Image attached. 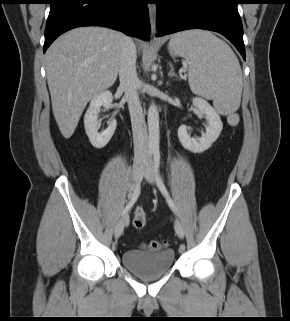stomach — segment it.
I'll list each match as a JSON object with an SVG mask.
<instances>
[{"instance_id": "stomach-1", "label": "stomach", "mask_w": 290, "mask_h": 321, "mask_svg": "<svg viewBox=\"0 0 290 321\" xmlns=\"http://www.w3.org/2000/svg\"><path fill=\"white\" fill-rule=\"evenodd\" d=\"M168 50L172 56H178V52L174 46L169 43Z\"/></svg>"}]
</instances>
